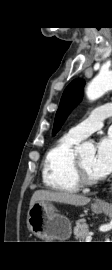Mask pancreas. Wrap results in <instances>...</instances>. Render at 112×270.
<instances>
[{
  "instance_id": "pancreas-1",
  "label": "pancreas",
  "mask_w": 112,
  "mask_h": 270,
  "mask_svg": "<svg viewBox=\"0 0 112 270\" xmlns=\"http://www.w3.org/2000/svg\"><path fill=\"white\" fill-rule=\"evenodd\" d=\"M74 235L78 242H84V239L89 235L88 226L84 219L78 220L74 227Z\"/></svg>"
}]
</instances>
